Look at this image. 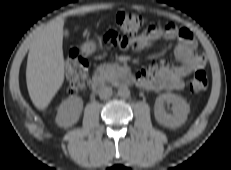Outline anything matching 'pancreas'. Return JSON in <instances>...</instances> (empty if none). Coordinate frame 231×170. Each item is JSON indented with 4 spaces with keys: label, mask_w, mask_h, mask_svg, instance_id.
Instances as JSON below:
<instances>
[{
    "label": "pancreas",
    "mask_w": 231,
    "mask_h": 170,
    "mask_svg": "<svg viewBox=\"0 0 231 170\" xmlns=\"http://www.w3.org/2000/svg\"><path fill=\"white\" fill-rule=\"evenodd\" d=\"M117 66L115 64H103L97 67L94 77H100L103 79H109L112 78L115 74Z\"/></svg>",
    "instance_id": "pancreas-1"
}]
</instances>
